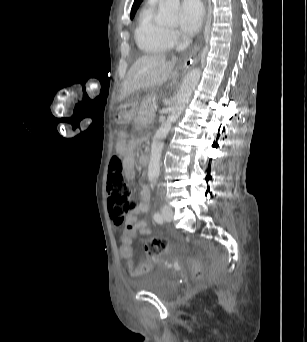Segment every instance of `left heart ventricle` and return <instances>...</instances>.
I'll use <instances>...</instances> for the list:
<instances>
[{"mask_svg": "<svg viewBox=\"0 0 307 342\" xmlns=\"http://www.w3.org/2000/svg\"><path fill=\"white\" fill-rule=\"evenodd\" d=\"M173 29H174V28H172V27H168V28H165L163 31H164L165 34H168V35H169V34H172Z\"/></svg>", "mask_w": 307, "mask_h": 342, "instance_id": "1", "label": "left heart ventricle"}]
</instances>
